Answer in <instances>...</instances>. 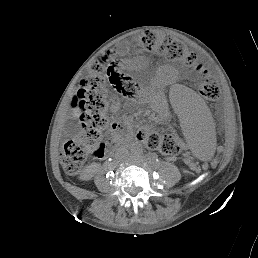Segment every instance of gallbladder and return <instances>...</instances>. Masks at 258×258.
I'll return each mask as SVG.
<instances>
[{
  "mask_svg": "<svg viewBox=\"0 0 258 258\" xmlns=\"http://www.w3.org/2000/svg\"><path fill=\"white\" fill-rule=\"evenodd\" d=\"M65 132L69 137L77 136L81 133V126L77 119H69L65 122Z\"/></svg>",
  "mask_w": 258,
  "mask_h": 258,
  "instance_id": "obj_1",
  "label": "gallbladder"
}]
</instances>
